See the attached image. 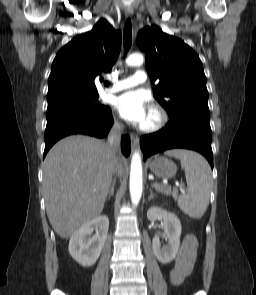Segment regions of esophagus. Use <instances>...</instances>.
I'll return each mask as SVG.
<instances>
[{
  "label": "esophagus",
  "instance_id": "obj_1",
  "mask_svg": "<svg viewBox=\"0 0 256 295\" xmlns=\"http://www.w3.org/2000/svg\"><path fill=\"white\" fill-rule=\"evenodd\" d=\"M125 14L127 17H131L132 14H133V8L128 6L126 9H125ZM130 140H131V145H132V149L134 150L138 144V141H139V138L137 135H134V134H130Z\"/></svg>",
  "mask_w": 256,
  "mask_h": 295
}]
</instances>
